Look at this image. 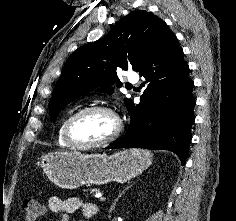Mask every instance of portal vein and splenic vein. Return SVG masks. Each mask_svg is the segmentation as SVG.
Wrapping results in <instances>:
<instances>
[{
  "mask_svg": "<svg viewBox=\"0 0 236 221\" xmlns=\"http://www.w3.org/2000/svg\"><path fill=\"white\" fill-rule=\"evenodd\" d=\"M99 200L102 202V201H105V197H100Z\"/></svg>",
  "mask_w": 236,
  "mask_h": 221,
  "instance_id": "18ae733b",
  "label": "portal vein and splenic vein"
}]
</instances>
